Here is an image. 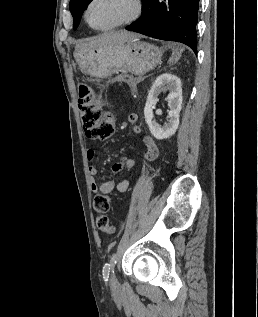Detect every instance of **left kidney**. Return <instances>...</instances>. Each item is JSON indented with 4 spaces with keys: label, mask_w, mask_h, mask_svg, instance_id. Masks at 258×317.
Segmentation results:
<instances>
[{
    "label": "left kidney",
    "mask_w": 258,
    "mask_h": 317,
    "mask_svg": "<svg viewBox=\"0 0 258 317\" xmlns=\"http://www.w3.org/2000/svg\"><path fill=\"white\" fill-rule=\"evenodd\" d=\"M161 88L170 90L167 100L170 110H168V122H165L164 126H156V122H153L154 118L153 108L156 104L157 92ZM182 84L180 78L176 74H170V72H163L160 76H157L153 86L149 90L147 100L144 106L145 120L149 126V130L155 138H169L172 134H175L179 126L180 110L182 108Z\"/></svg>",
    "instance_id": "5707ae66"
}]
</instances>
